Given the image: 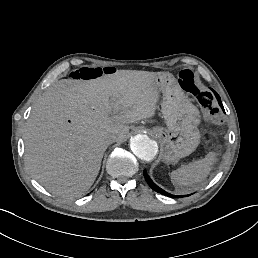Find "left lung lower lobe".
<instances>
[{
    "mask_svg": "<svg viewBox=\"0 0 258 258\" xmlns=\"http://www.w3.org/2000/svg\"><path fill=\"white\" fill-rule=\"evenodd\" d=\"M217 100H218V103L219 105L221 106V108L223 109L224 111V108H223V105H222V102H221V99L219 97V95L213 90ZM144 174V177H145V180L146 182L148 183V185L153 189L155 190L156 192L160 193V194H163V195H166V196H170V197H174V198H177V197H183V196H175V195H171L169 193H167L166 191H164L163 189H161L160 187H158L151 179L150 177L148 176L146 170H144L143 172Z\"/></svg>",
    "mask_w": 258,
    "mask_h": 258,
    "instance_id": "obj_1",
    "label": "left lung lower lobe"
}]
</instances>
